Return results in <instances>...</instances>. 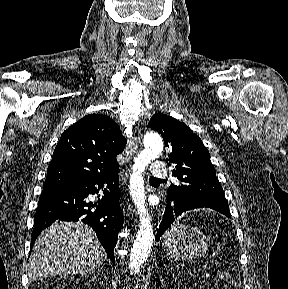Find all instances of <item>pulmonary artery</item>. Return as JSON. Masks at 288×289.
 I'll return each instance as SVG.
<instances>
[{
	"instance_id": "e3ab8cb5",
	"label": "pulmonary artery",
	"mask_w": 288,
	"mask_h": 289,
	"mask_svg": "<svg viewBox=\"0 0 288 289\" xmlns=\"http://www.w3.org/2000/svg\"><path fill=\"white\" fill-rule=\"evenodd\" d=\"M150 172L154 177L160 178V179L168 178L170 175L169 169L167 168L165 163L161 161H156L152 163L150 167Z\"/></svg>"
}]
</instances>
